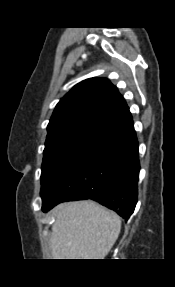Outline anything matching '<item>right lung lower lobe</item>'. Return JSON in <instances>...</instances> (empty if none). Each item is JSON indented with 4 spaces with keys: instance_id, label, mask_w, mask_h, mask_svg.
Segmentation results:
<instances>
[{
    "instance_id": "98d812e1",
    "label": "right lung lower lobe",
    "mask_w": 175,
    "mask_h": 287,
    "mask_svg": "<svg viewBox=\"0 0 175 287\" xmlns=\"http://www.w3.org/2000/svg\"><path fill=\"white\" fill-rule=\"evenodd\" d=\"M140 163L132 118L119 123L42 196V210L92 199L128 220L137 203Z\"/></svg>"
}]
</instances>
